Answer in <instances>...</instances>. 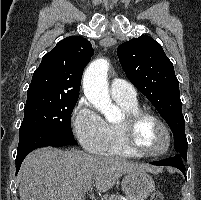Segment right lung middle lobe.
Here are the masks:
<instances>
[{"label":"right lung middle lobe","instance_id":"obj_1","mask_svg":"<svg viewBox=\"0 0 201 200\" xmlns=\"http://www.w3.org/2000/svg\"><path fill=\"white\" fill-rule=\"evenodd\" d=\"M78 97L48 93H27L24 119L19 133L31 129H46L73 137L71 114Z\"/></svg>","mask_w":201,"mask_h":200}]
</instances>
